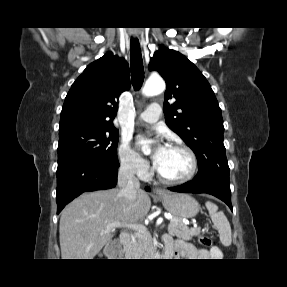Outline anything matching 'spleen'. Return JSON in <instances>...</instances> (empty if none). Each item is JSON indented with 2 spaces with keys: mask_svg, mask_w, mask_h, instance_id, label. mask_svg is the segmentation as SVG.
Wrapping results in <instances>:
<instances>
[{
  "mask_svg": "<svg viewBox=\"0 0 287 287\" xmlns=\"http://www.w3.org/2000/svg\"><path fill=\"white\" fill-rule=\"evenodd\" d=\"M206 208L210 214L211 220L217 228L220 236V241L224 246H230L232 242L231 226L223 212H218L216 204L207 201Z\"/></svg>",
  "mask_w": 287,
  "mask_h": 287,
  "instance_id": "3e777b00",
  "label": "spleen"
}]
</instances>
